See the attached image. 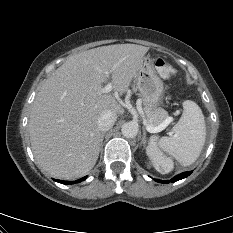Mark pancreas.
I'll return each instance as SVG.
<instances>
[{"instance_id":"1","label":"pancreas","mask_w":233,"mask_h":233,"mask_svg":"<svg viewBox=\"0 0 233 233\" xmlns=\"http://www.w3.org/2000/svg\"><path fill=\"white\" fill-rule=\"evenodd\" d=\"M134 91H135V88H134ZM143 104H144V113L146 115L149 125L153 127H158L168 117L167 112L164 111L163 109L157 108L153 110L150 107H148L144 101H143Z\"/></svg>"}]
</instances>
